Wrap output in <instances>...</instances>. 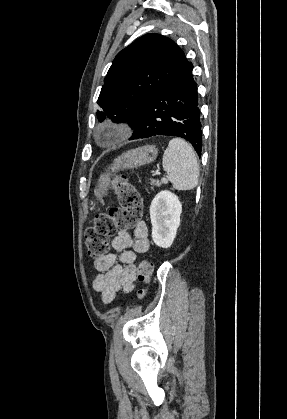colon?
I'll return each instance as SVG.
<instances>
[{
  "instance_id": "5ec220e1",
  "label": "colon",
  "mask_w": 287,
  "mask_h": 419,
  "mask_svg": "<svg viewBox=\"0 0 287 419\" xmlns=\"http://www.w3.org/2000/svg\"><path fill=\"white\" fill-rule=\"evenodd\" d=\"M112 187L119 199L120 207L111 209L108 213H99L94 218V223L86 229L85 238L88 255L94 260L105 256L109 250L108 240L118 229H129L135 226L142 216V200L137 189L124 175H115ZM153 272L149 260H141L137 268L140 282L147 285ZM147 288L138 290V297L143 298Z\"/></svg>"
}]
</instances>
